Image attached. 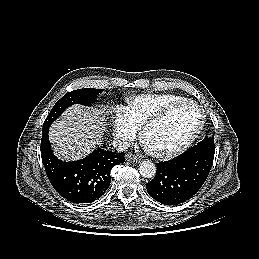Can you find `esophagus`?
Segmentation results:
<instances>
[{"label": "esophagus", "instance_id": "34e87169", "mask_svg": "<svg viewBox=\"0 0 259 259\" xmlns=\"http://www.w3.org/2000/svg\"><path fill=\"white\" fill-rule=\"evenodd\" d=\"M126 160L132 163H138L140 161V158L136 157L133 154H127L126 155Z\"/></svg>", "mask_w": 259, "mask_h": 259}]
</instances>
